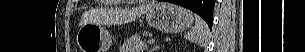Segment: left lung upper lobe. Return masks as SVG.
<instances>
[{
	"instance_id": "5c2ea615",
	"label": "left lung upper lobe",
	"mask_w": 305,
	"mask_h": 52,
	"mask_svg": "<svg viewBox=\"0 0 305 52\" xmlns=\"http://www.w3.org/2000/svg\"><path fill=\"white\" fill-rule=\"evenodd\" d=\"M212 17H213V14L210 16L205 15L203 18L205 21H207V23L212 24Z\"/></svg>"
}]
</instances>
